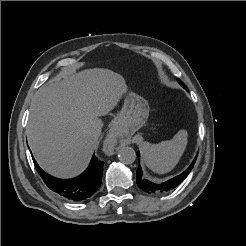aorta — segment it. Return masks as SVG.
I'll use <instances>...</instances> for the list:
<instances>
[{
	"label": "aorta",
	"mask_w": 246,
	"mask_h": 246,
	"mask_svg": "<svg viewBox=\"0 0 246 246\" xmlns=\"http://www.w3.org/2000/svg\"><path fill=\"white\" fill-rule=\"evenodd\" d=\"M119 160L125 164H132L136 159V153L133 148L123 146L118 152Z\"/></svg>",
	"instance_id": "1"
}]
</instances>
